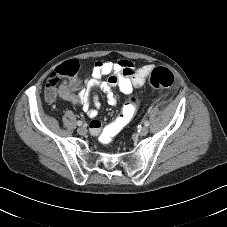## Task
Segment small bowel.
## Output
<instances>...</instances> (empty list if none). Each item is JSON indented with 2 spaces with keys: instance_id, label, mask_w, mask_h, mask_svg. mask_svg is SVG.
<instances>
[{
  "instance_id": "1",
  "label": "small bowel",
  "mask_w": 227,
  "mask_h": 227,
  "mask_svg": "<svg viewBox=\"0 0 227 227\" xmlns=\"http://www.w3.org/2000/svg\"><path fill=\"white\" fill-rule=\"evenodd\" d=\"M152 68L153 66L149 64L135 67L128 60L117 62L98 60L93 64L91 74L78 85L77 95H73L71 89L67 87H61L60 94L64 99L81 106L87 116L94 119L100 106L96 103L92 107L91 103L97 101L98 92L105 93L108 103L115 105L117 103L115 89L118 88L124 94H131L134 89L144 85ZM104 76H107L106 80H103ZM109 126L94 119L90 124V132L93 135H100Z\"/></svg>"
}]
</instances>
